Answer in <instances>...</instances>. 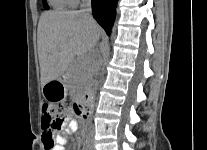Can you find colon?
<instances>
[{
    "label": "colon",
    "instance_id": "1",
    "mask_svg": "<svg viewBox=\"0 0 207 150\" xmlns=\"http://www.w3.org/2000/svg\"><path fill=\"white\" fill-rule=\"evenodd\" d=\"M67 119V107L63 103L48 101L43 106L42 116V138L44 139V147L49 150L54 145L53 134L59 131L65 124Z\"/></svg>",
    "mask_w": 207,
    "mask_h": 150
}]
</instances>
